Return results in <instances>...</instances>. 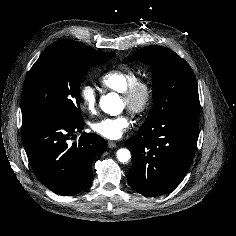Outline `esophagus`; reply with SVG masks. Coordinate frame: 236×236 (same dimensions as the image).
Masks as SVG:
<instances>
[{
    "mask_svg": "<svg viewBox=\"0 0 236 236\" xmlns=\"http://www.w3.org/2000/svg\"><path fill=\"white\" fill-rule=\"evenodd\" d=\"M108 147L109 148H115V147H117V144L114 141H108Z\"/></svg>",
    "mask_w": 236,
    "mask_h": 236,
    "instance_id": "34e87169",
    "label": "esophagus"
}]
</instances>
